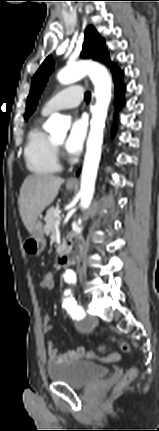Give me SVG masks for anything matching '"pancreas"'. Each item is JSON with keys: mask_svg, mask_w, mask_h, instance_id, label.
<instances>
[{"mask_svg": "<svg viewBox=\"0 0 159 431\" xmlns=\"http://www.w3.org/2000/svg\"><path fill=\"white\" fill-rule=\"evenodd\" d=\"M58 219V211L57 208L51 207L47 210L46 216L44 218L45 224V233L46 235H50L55 229V221Z\"/></svg>", "mask_w": 159, "mask_h": 431, "instance_id": "pancreas-1", "label": "pancreas"}]
</instances>
